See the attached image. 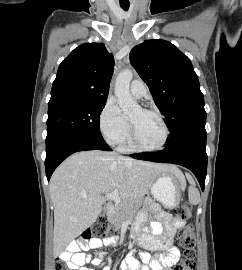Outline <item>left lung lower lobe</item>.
Listing matches in <instances>:
<instances>
[{
  "mask_svg": "<svg viewBox=\"0 0 242 270\" xmlns=\"http://www.w3.org/2000/svg\"><path fill=\"white\" fill-rule=\"evenodd\" d=\"M206 135L205 128L193 129L167 142L166 148L160 152L131 154V157L184 166L195 174L204 190L207 172Z\"/></svg>",
  "mask_w": 242,
  "mask_h": 270,
  "instance_id": "obj_1",
  "label": "left lung lower lobe"
}]
</instances>
